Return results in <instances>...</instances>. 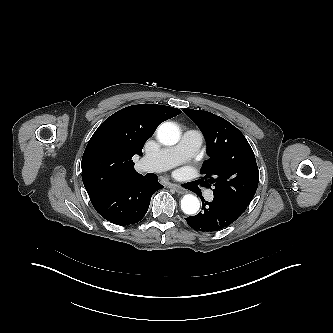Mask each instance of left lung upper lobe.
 Instances as JSON below:
<instances>
[{
  "instance_id": "5c2ea615",
  "label": "left lung upper lobe",
  "mask_w": 333,
  "mask_h": 333,
  "mask_svg": "<svg viewBox=\"0 0 333 333\" xmlns=\"http://www.w3.org/2000/svg\"><path fill=\"white\" fill-rule=\"evenodd\" d=\"M200 128L207 142L206 160L201 169L203 185L213 184L214 195L246 210L259 183L253 150L239 129L207 111L183 109Z\"/></svg>"
}]
</instances>
